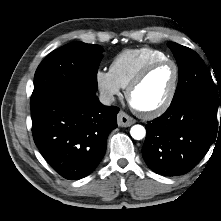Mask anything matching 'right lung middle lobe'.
Masks as SVG:
<instances>
[{"label": "right lung middle lobe", "mask_w": 221, "mask_h": 221, "mask_svg": "<svg viewBox=\"0 0 221 221\" xmlns=\"http://www.w3.org/2000/svg\"><path fill=\"white\" fill-rule=\"evenodd\" d=\"M103 48L99 45L73 42L51 52L38 66L30 106L65 85H80L97 91V71Z\"/></svg>", "instance_id": "1"}]
</instances>
